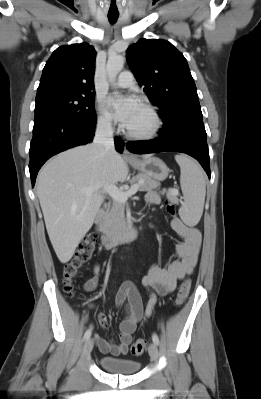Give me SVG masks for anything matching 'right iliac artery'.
Returning a JSON list of instances; mask_svg holds the SVG:
<instances>
[{
	"mask_svg": "<svg viewBox=\"0 0 261 399\" xmlns=\"http://www.w3.org/2000/svg\"><path fill=\"white\" fill-rule=\"evenodd\" d=\"M91 331H92V329L91 328H89L86 332H85V334H84V340H88L89 338H90V336H91Z\"/></svg>",
	"mask_w": 261,
	"mask_h": 399,
	"instance_id": "1",
	"label": "right iliac artery"
}]
</instances>
